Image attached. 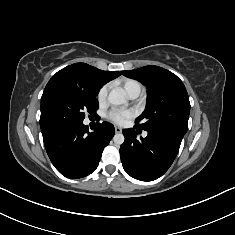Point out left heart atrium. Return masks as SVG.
<instances>
[{"label":"left heart atrium","mask_w":235,"mask_h":235,"mask_svg":"<svg viewBox=\"0 0 235 235\" xmlns=\"http://www.w3.org/2000/svg\"><path fill=\"white\" fill-rule=\"evenodd\" d=\"M134 116L133 111L124 110V109H112L108 112L107 118L119 125H124Z\"/></svg>","instance_id":"1"}]
</instances>
